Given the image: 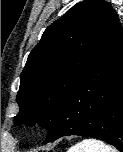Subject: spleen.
Here are the masks:
<instances>
[{
  "mask_svg": "<svg viewBox=\"0 0 123 152\" xmlns=\"http://www.w3.org/2000/svg\"><path fill=\"white\" fill-rule=\"evenodd\" d=\"M68 152H116V150L102 141L84 139L73 145Z\"/></svg>",
  "mask_w": 123,
  "mask_h": 152,
  "instance_id": "1",
  "label": "spleen"
}]
</instances>
